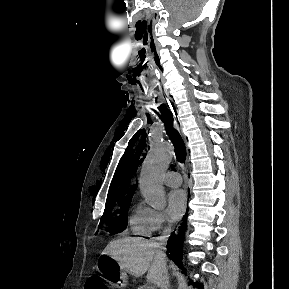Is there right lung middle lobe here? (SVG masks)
<instances>
[{
	"label": "right lung middle lobe",
	"instance_id": "right-lung-middle-lobe-1",
	"mask_svg": "<svg viewBox=\"0 0 289 289\" xmlns=\"http://www.w3.org/2000/svg\"><path fill=\"white\" fill-rule=\"evenodd\" d=\"M131 203V198L119 203V210L115 211L114 206L116 203H106L105 211L101 217L99 228L102 225L107 224L111 228L112 232L118 233L126 229L128 219L127 211Z\"/></svg>",
	"mask_w": 289,
	"mask_h": 289
}]
</instances>
